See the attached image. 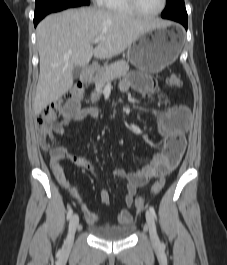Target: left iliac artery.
<instances>
[{
    "label": "left iliac artery",
    "mask_w": 227,
    "mask_h": 265,
    "mask_svg": "<svg viewBox=\"0 0 227 265\" xmlns=\"http://www.w3.org/2000/svg\"><path fill=\"white\" fill-rule=\"evenodd\" d=\"M149 211L151 212V214L153 215V217H154L155 219H157V216H156V213H155V210H154V207H153V206H150V207H149Z\"/></svg>",
    "instance_id": "left-iliac-artery-1"
}]
</instances>
